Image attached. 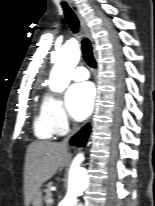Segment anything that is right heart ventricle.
<instances>
[{
    "label": "right heart ventricle",
    "mask_w": 155,
    "mask_h": 206,
    "mask_svg": "<svg viewBox=\"0 0 155 206\" xmlns=\"http://www.w3.org/2000/svg\"><path fill=\"white\" fill-rule=\"evenodd\" d=\"M34 132L35 135L40 139H50L54 135V132L45 120L42 112H40L39 115L35 117Z\"/></svg>",
    "instance_id": "right-heart-ventricle-1"
}]
</instances>
